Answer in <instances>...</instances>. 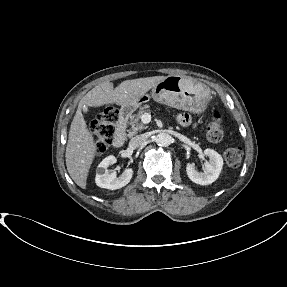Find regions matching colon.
<instances>
[{
	"instance_id": "colon-1",
	"label": "colon",
	"mask_w": 287,
	"mask_h": 287,
	"mask_svg": "<svg viewBox=\"0 0 287 287\" xmlns=\"http://www.w3.org/2000/svg\"><path fill=\"white\" fill-rule=\"evenodd\" d=\"M118 121V111L107 106L103 108L92 124L97 155L103 154L111 144L115 134V126ZM206 136L211 142H219L223 139L224 130L219 116H215L206 126ZM243 158L240 147H232L226 150L225 160L230 166H238Z\"/></svg>"
}]
</instances>
